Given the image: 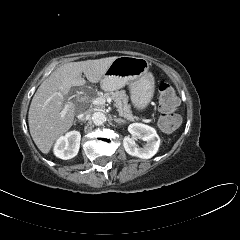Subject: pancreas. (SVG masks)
Here are the masks:
<instances>
[{"label": "pancreas", "mask_w": 240, "mask_h": 240, "mask_svg": "<svg viewBox=\"0 0 240 240\" xmlns=\"http://www.w3.org/2000/svg\"><path fill=\"white\" fill-rule=\"evenodd\" d=\"M98 96L105 99L111 98L114 101L115 106L117 107L119 115L122 116L124 119L128 121H135L137 119V117L131 114V109L128 105V97L124 90L107 92L104 94H99Z\"/></svg>", "instance_id": "1"}]
</instances>
